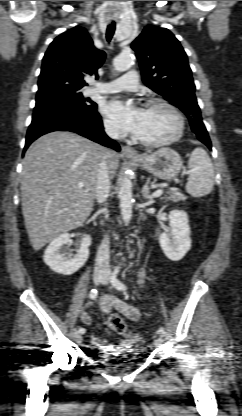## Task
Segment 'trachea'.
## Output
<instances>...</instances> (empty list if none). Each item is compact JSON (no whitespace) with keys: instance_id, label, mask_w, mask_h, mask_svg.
Instances as JSON below:
<instances>
[{"instance_id":"3493384b","label":"trachea","mask_w":242,"mask_h":416,"mask_svg":"<svg viewBox=\"0 0 242 416\" xmlns=\"http://www.w3.org/2000/svg\"><path fill=\"white\" fill-rule=\"evenodd\" d=\"M115 28H116V25H115V23L114 22H112L111 24H109L108 26H107V30H106V39H107V41L110 43V41H111V39H112V37H113V35H114V33H115Z\"/></svg>"}]
</instances>
